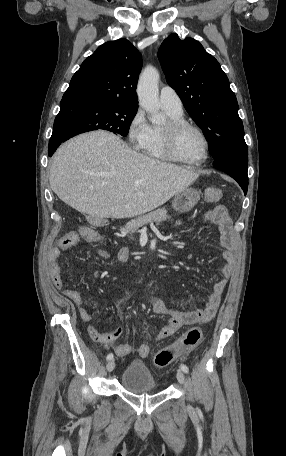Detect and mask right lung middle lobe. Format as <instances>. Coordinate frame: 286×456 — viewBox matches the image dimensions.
Wrapping results in <instances>:
<instances>
[{
    "instance_id": "dd1d6c3e",
    "label": "right lung middle lobe",
    "mask_w": 286,
    "mask_h": 456,
    "mask_svg": "<svg viewBox=\"0 0 286 456\" xmlns=\"http://www.w3.org/2000/svg\"><path fill=\"white\" fill-rule=\"evenodd\" d=\"M136 112L137 107L91 97H76L68 106L57 138L65 141L77 134L97 129L125 137Z\"/></svg>"
}]
</instances>
